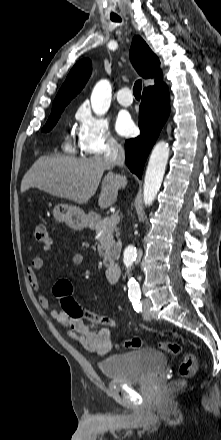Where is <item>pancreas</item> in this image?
Segmentation results:
<instances>
[{"mask_svg":"<svg viewBox=\"0 0 221 440\" xmlns=\"http://www.w3.org/2000/svg\"><path fill=\"white\" fill-rule=\"evenodd\" d=\"M94 230L96 231L97 235L101 233L98 237V241L100 242V246L98 247L99 254L109 255V253L112 251L114 258L117 259L120 253V246L114 240V235L116 237L119 236V231L116 225H113L110 222L109 217H105L95 224Z\"/></svg>","mask_w":221,"mask_h":440,"instance_id":"1","label":"pancreas"}]
</instances>
